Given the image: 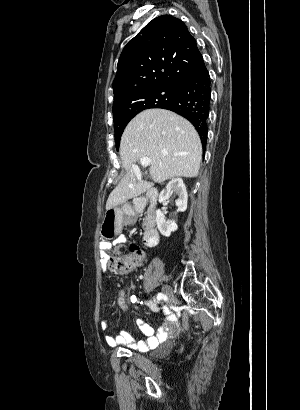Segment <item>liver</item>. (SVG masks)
<instances>
[{"label": "liver", "mask_w": 300, "mask_h": 410, "mask_svg": "<svg viewBox=\"0 0 300 410\" xmlns=\"http://www.w3.org/2000/svg\"><path fill=\"white\" fill-rule=\"evenodd\" d=\"M125 176L110 193L106 210L149 190L154 183L175 177H196L202 161V145L194 126L176 113L149 109L125 128L120 142ZM148 157L153 182L141 180L133 165Z\"/></svg>", "instance_id": "obj_1"}]
</instances>
